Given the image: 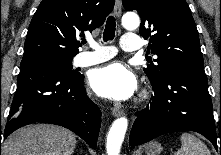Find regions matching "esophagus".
<instances>
[{
  "label": "esophagus",
  "instance_id": "obj_1",
  "mask_svg": "<svg viewBox=\"0 0 221 155\" xmlns=\"http://www.w3.org/2000/svg\"><path fill=\"white\" fill-rule=\"evenodd\" d=\"M122 12V1L121 0H116L115 1V6H114V14L117 18H120ZM124 111L119 108V107H114L112 108V114L115 117L123 115Z\"/></svg>",
  "mask_w": 221,
  "mask_h": 155
}]
</instances>
